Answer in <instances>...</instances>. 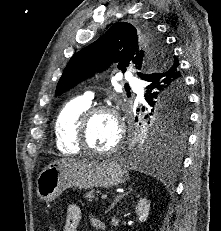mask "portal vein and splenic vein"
Listing matches in <instances>:
<instances>
[{
    "label": "portal vein and splenic vein",
    "mask_w": 221,
    "mask_h": 231,
    "mask_svg": "<svg viewBox=\"0 0 221 231\" xmlns=\"http://www.w3.org/2000/svg\"><path fill=\"white\" fill-rule=\"evenodd\" d=\"M100 197H101V199L104 200V199H107L108 195L107 194H101Z\"/></svg>",
    "instance_id": "portal-vein-and-splenic-vein-1"
}]
</instances>
